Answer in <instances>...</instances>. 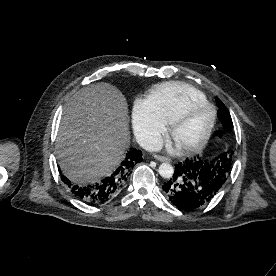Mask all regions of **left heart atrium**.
Segmentation results:
<instances>
[{
	"mask_svg": "<svg viewBox=\"0 0 276 276\" xmlns=\"http://www.w3.org/2000/svg\"><path fill=\"white\" fill-rule=\"evenodd\" d=\"M167 147L170 151L173 152L179 150L182 147V145L177 139L174 138L172 141L167 143Z\"/></svg>",
	"mask_w": 276,
	"mask_h": 276,
	"instance_id": "1",
	"label": "left heart atrium"
}]
</instances>
